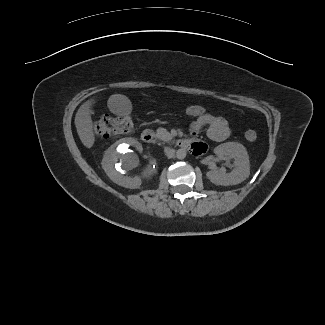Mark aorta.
Here are the masks:
<instances>
[{"mask_svg": "<svg viewBox=\"0 0 325 325\" xmlns=\"http://www.w3.org/2000/svg\"><path fill=\"white\" fill-rule=\"evenodd\" d=\"M186 150L184 149V148H180V149H178L177 150V152H176V157L178 158V159H184L185 157H186Z\"/></svg>", "mask_w": 325, "mask_h": 325, "instance_id": "762f6f07", "label": "aorta"}]
</instances>
